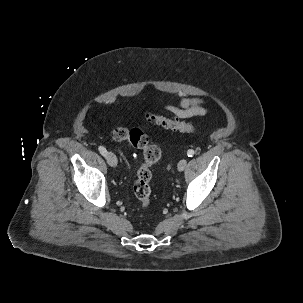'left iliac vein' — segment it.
<instances>
[{
	"label": "left iliac vein",
	"instance_id": "obj_1",
	"mask_svg": "<svg viewBox=\"0 0 303 303\" xmlns=\"http://www.w3.org/2000/svg\"><path fill=\"white\" fill-rule=\"evenodd\" d=\"M186 165H187V160L186 159H181L178 162L177 168H178L179 171H183L186 168Z\"/></svg>",
	"mask_w": 303,
	"mask_h": 303
}]
</instances>
